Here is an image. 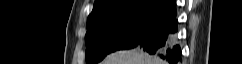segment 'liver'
I'll use <instances>...</instances> for the list:
<instances>
[{
  "label": "liver",
  "mask_w": 242,
  "mask_h": 64,
  "mask_svg": "<svg viewBox=\"0 0 242 64\" xmlns=\"http://www.w3.org/2000/svg\"><path fill=\"white\" fill-rule=\"evenodd\" d=\"M102 64H161V60L136 48L112 53Z\"/></svg>",
  "instance_id": "6515ba94"
}]
</instances>
